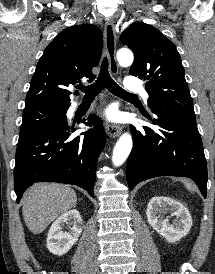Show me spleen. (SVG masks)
<instances>
[{"mask_svg":"<svg viewBox=\"0 0 215 274\" xmlns=\"http://www.w3.org/2000/svg\"><path fill=\"white\" fill-rule=\"evenodd\" d=\"M185 185L189 190H191V184H189L188 182H185Z\"/></svg>","mask_w":215,"mask_h":274,"instance_id":"obj_1","label":"spleen"}]
</instances>
